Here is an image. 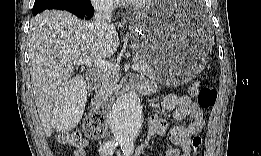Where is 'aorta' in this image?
I'll return each instance as SVG.
<instances>
[{"instance_id": "aorta-1", "label": "aorta", "mask_w": 261, "mask_h": 156, "mask_svg": "<svg viewBox=\"0 0 261 156\" xmlns=\"http://www.w3.org/2000/svg\"><path fill=\"white\" fill-rule=\"evenodd\" d=\"M142 122V105L137 93L124 94L113 105L110 112V126L118 141L132 142L140 133Z\"/></svg>"}]
</instances>
